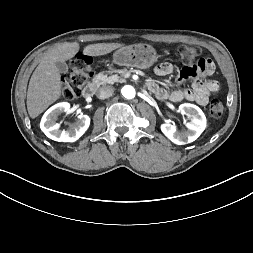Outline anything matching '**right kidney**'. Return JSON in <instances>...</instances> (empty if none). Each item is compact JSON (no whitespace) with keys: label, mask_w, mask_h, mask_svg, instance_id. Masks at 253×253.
I'll return each mask as SVG.
<instances>
[{"label":"right kidney","mask_w":253,"mask_h":253,"mask_svg":"<svg viewBox=\"0 0 253 253\" xmlns=\"http://www.w3.org/2000/svg\"><path fill=\"white\" fill-rule=\"evenodd\" d=\"M65 112H71L70 104L61 102L49 108L42 117L40 128L47 137L59 142H75L88 129L90 118L87 115H79L72 125L67 130H61L60 125L56 123L57 116Z\"/></svg>","instance_id":"obj_1"}]
</instances>
